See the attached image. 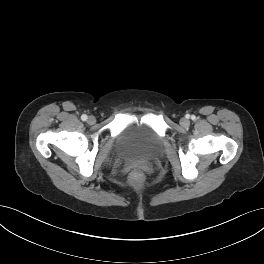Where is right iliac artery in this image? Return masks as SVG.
Wrapping results in <instances>:
<instances>
[{"label":"right iliac artery","instance_id":"obj_1","mask_svg":"<svg viewBox=\"0 0 264 264\" xmlns=\"http://www.w3.org/2000/svg\"><path fill=\"white\" fill-rule=\"evenodd\" d=\"M81 119H82L83 121H86V120H87V115L83 114V115L81 116Z\"/></svg>","mask_w":264,"mask_h":264}]
</instances>
